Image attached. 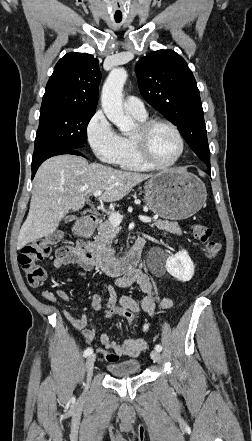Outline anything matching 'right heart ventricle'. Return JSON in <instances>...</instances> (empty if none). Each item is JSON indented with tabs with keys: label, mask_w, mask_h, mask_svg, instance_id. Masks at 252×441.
<instances>
[{
	"label": "right heart ventricle",
	"mask_w": 252,
	"mask_h": 441,
	"mask_svg": "<svg viewBox=\"0 0 252 441\" xmlns=\"http://www.w3.org/2000/svg\"><path fill=\"white\" fill-rule=\"evenodd\" d=\"M141 123L147 120V116L138 117L134 116ZM123 148L118 159V165L125 170L145 172L149 171L150 168L144 164L136 151L135 144L133 142L132 136L122 137Z\"/></svg>",
	"instance_id": "1"
}]
</instances>
